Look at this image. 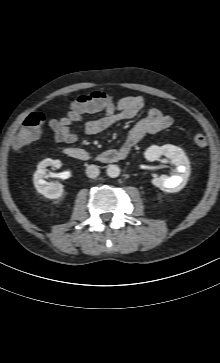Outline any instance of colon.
<instances>
[{
  "label": "colon",
  "mask_w": 220,
  "mask_h": 363,
  "mask_svg": "<svg viewBox=\"0 0 220 363\" xmlns=\"http://www.w3.org/2000/svg\"><path fill=\"white\" fill-rule=\"evenodd\" d=\"M90 96L101 104H105L112 100V96L104 91H96L90 94ZM82 100V96L75 100V103ZM46 120V116L43 112L30 113L21 123V126L13 140V148L16 150L22 149L30 142L35 140L42 131V126ZM194 143L199 147L207 145V136L198 132L194 136Z\"/></svg>",
  "instance_id": "colon-1"
}]
</instances>
